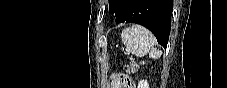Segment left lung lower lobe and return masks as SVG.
Listing matches in <instances>:
<instances>
[{
  "label": "left lung lower lobe",
  "mask_w": 227,
  "mask_h": 88,
  "mask_svg": "<svg viewBox=\"0 0 227 88\" xmlns=\"http://www.w3.org/2000/svg\"><path fill=\"white\" fill-rule=\"evenodd\" d=\"M172 11V0H119L115 13L116 23L140 24L148 28L158 43L166 48Z\"/></svg>",
  "instance_id": "1"
}]
</instances>
